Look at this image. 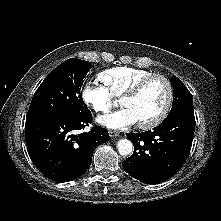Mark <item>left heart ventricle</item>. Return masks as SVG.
Wrapping results in <instances>:
<instances>
[{
	"mask_svg": "<svg viewBox=\"0 0 221 221\" xmlns=\"http://www.w3.org/2000/svg\"><path fill=\"white\" fill-rule=\"evenodd\" d=\"M167 99V87L160 79L148 82L140 94L132 99L122 100L121 106L129 109L137 123L153 119L162 110Z\"/></svg>",
	"mask_w": 221,
	"mask_h": 221,
	"instance_id": "b2bd125f",
	"label": "left heart ventricle"
}]
</instances>
